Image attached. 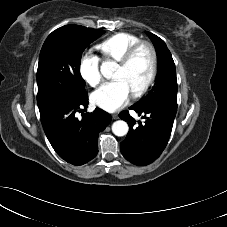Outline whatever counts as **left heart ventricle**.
Masks as SVG:
<instances>
[{
  "label": "left heart ventricle",
  "instance_id": "1",
  "mask_svg": "<svg viewBox=\"0 0 227 227\" xmlns=\"http://www.w3.org/2000/svg\"><path fill=\"white\" fill-rule=\"evenodd\" d=\"M150 72V55L147 49H141L126 68L117 67L113 79L123 81L131 93L136 91L147 79Z\"/></svg>",
  "mask_w": 227,
  "mask_h": 227
}]
</instances>
